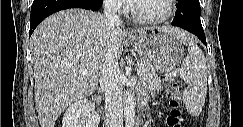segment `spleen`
<instances>
[{
  "label": "spleen",
  "mask_w": 243,
  "mask_h": 127,
  "mask_svg": "<svg viewBox=\"0 0 243 127\" xmlns=\"http://www.w3.org/2000/svg\"><path fill=\"white\" fill-rule=\"evenodd\" d=\"M188 46L189 54L182 62V76L187 82L183 92L184 103L192 114H199L207 94V67L205 56L191 37L178 36Z\"/></svg>",
  "instance_id": "obj_1"
}]
</instances>
